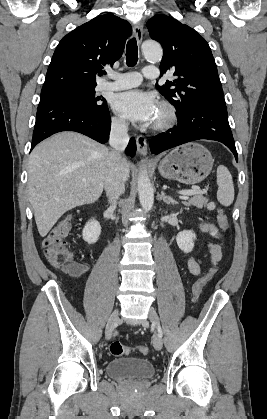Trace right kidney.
I'll list each match as a JSON object with an SVG mask.
<instances>
[{"instance_id":"ca27d5eb","label":"right kidney","mask_w":267,"mask_h":419,"mask_svg":"<svg viewBox=\"0 0 267 419\" xmlns=\"http://www.w3.org/2000/svg\"><path fill=\"white\" fill-rule=\"evenodd\" d=\"M101 234V225L94 218L89 220L82 231V236L85 242L88 244H94L97 242Z\"/></svg>"}]
</instances>
